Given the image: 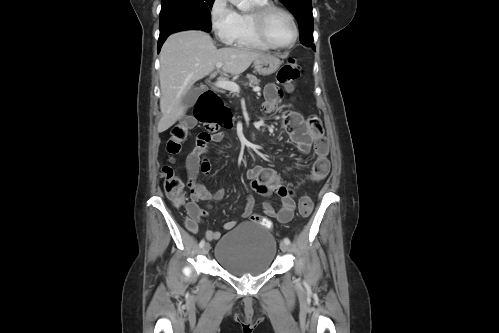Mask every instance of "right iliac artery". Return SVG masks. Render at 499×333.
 <instances>
[{
  "instance_id": "1",
  "label": "right iliac artery",
  "mask_w": 499,
  "mask_h": 333,
  "mask_svg": "<svg viewBox=\"0 0 499 333\" xmlns=\"http://www.w3.org/2000/svg\"><path fill=\"white\" fill-rule=\"evenodd\" d=\"M205 244V241L204 240H201L200 243H199V247L202 248Z\"/></svg>"
}]
</instances>
